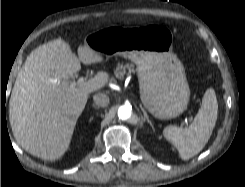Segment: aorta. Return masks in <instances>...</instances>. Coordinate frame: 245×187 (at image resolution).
<instances>
[{"instance_id": "obj_1", "label": "aorta", "mask_w": 245, "mask_h": 187, "mask_svg": "<svg viewBox=\"0 0 245 187\" xmlns=\"http://www.w3.org/2000/svg\"><path fill=\"white\" fill-rule=\"evenodd\" d=\"M132 110L129 106H121L118 109V117L122 120L129 119L131 117Z\"/></svg>"}]
</instances>
